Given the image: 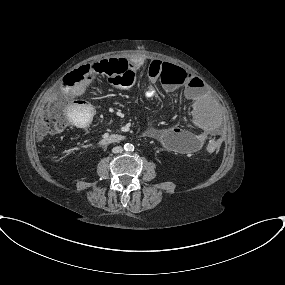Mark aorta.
Returning a JSON list of instances; mask_svg holds the SVG:
<instances>
[{
    "label": "aorta",
    "mask_w": 285,
    "mask_h": 285,
    "mask_svg": "<svg viewBox=\"0 0 285 285\" xmlns=\"http://www.w3.org/2000/svg\"><path fill=\"white\" fill-rule=\"evenodd\" d=\"M124 149H125L126 151L131 152V151L134 150V145H133V144H130V143H126V144L124 145Z\"/></svg>",
    "instance_id": "aorta-1"
}]
</instances>
